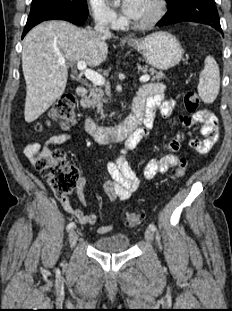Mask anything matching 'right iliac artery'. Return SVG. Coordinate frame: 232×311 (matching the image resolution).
<instances>
[{
  "instance_id": "right-iliac-artery-1",
  "label": "right iliac artery",
  "mask_w": 232,
  "mask_h": 311,
  "mask_svg": "<svg viewBox=\"0 0 232 311\" xmlns=\"http://www.w3.org/2000/svg\"><path fill=\"white\" fill-rule=\"evenodd\" d=\"M75 227V223L74 222H70L68 225H67V230H71Z\"/></svg>"
}]
</instances>
